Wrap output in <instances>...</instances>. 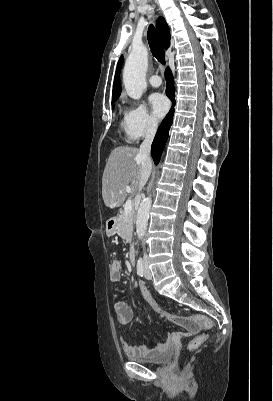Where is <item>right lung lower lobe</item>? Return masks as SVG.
<instances>
[{
	"label": "right lung lower lobe",
	"mask_w": 273,
	"mask_h": 401,
	"mask_svg": "<svg viewBox=\"0 0 273 401\" xmlns=\"http://www.w3.org/2000/svg\"><path fill=\"white\" fill-rule=\"evenodd\" d=\"M165 76H166V82H167L166 94L174 103L175 102L174 101L175 88H174L172 73L169 68L166 69ZM173 115H174V109L171 108V110L166 115L165 119L163 120L161 126L159 127L157 134L155 136V139L152 143L151 155H152V158L156 165L160 161L161 154H162L164 146L166 144V141H167V138L169 135V129L173 122Z\"/></svg>",
	"instance_id": "1"
}]
</instances>
